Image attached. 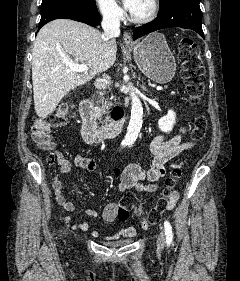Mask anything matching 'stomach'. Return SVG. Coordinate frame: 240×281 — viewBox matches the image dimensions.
<instances>
[{"label": "stomach", "mask_w": 240, "mask_h": 281, "mask_svg": "<svg viewBox=\"0 0 240 281\" xmlns=\"http://www.w3.org/2000/svg\"><path fill=\"white\" fill-rule=\"evenodd\" d=\"M129 48L137 66L148 78L161 84L172 80L176 61L162 34L152 33Z\"/></svg>", "instance_id": "0dacf381"}]
</instances>
